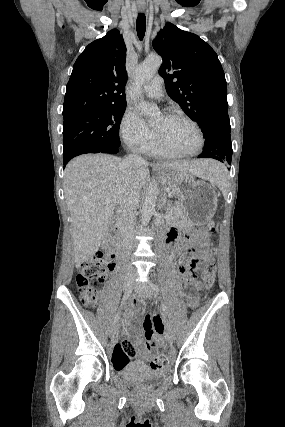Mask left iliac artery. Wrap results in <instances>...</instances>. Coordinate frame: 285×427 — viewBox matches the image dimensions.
Here are the masks:
<instances>
[{
    "mask_svg": "<svg viewBox=\"0 0 285 427\" xmlns=\"http://www.w3.org/2000/svg\"><path fill=\"white\" fill-rule=\"evenodd\" d=\"M150 287L152 288V290L155 293H159L160 292L159 287L156 286L155 284L150 283ZM162 310L167 314V306L164 303H162Z\"/></svg>",
    "mask_w": 285,
    "mask_h": 427,
    "instance_id": "1",
    "label": "left iliac artery"
}]
</instances>
